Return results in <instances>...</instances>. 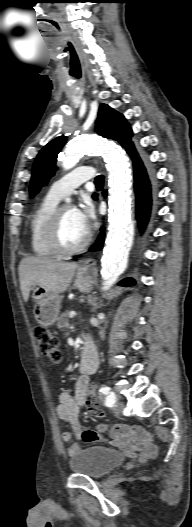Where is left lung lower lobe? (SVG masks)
Returning a JSON list of instances; mask_svg holds the SVG:
<instances>
[{
  "mask_svg": "<svg viewBox=\"0 0 192 527\" xmlns=\"http://www.w3.org/2000/svg\"><path fill=\"white\" fill-rule=\"evenodd\" d=\"M127 152L131 156L134 164L135 192L137 200V219L140 228L143 229L148 221L150 214V183L145 168L138 154L136 153L134 146L131 147ZM103 194H106V190L103 192ZM101 231H104V228H101ZM103 236L104 233L101 232L97 242L90 248L91 250L96 251L102 248ZM134 284L135 281L132 278H126L119 283L120 286H132Z\"/></svg>",
  "mask_w": 192,
  "mask_h": 527,
  "instance_id": "1",
  "label": "left lung lower lobe"
}]
</instances>
